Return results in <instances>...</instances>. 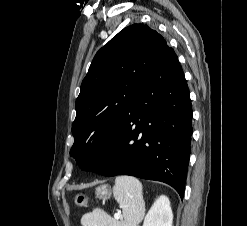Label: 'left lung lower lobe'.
Returning a JSON list of instances; mask_svg holds the SVG:
<instances>
[{"mask_svg": "<svg viewBox=\"0 0 247 226\" xmlns=\"http://www.w3.org/2000/svg\"><path fill=\"white\" fill-rule=\"evenodd\" d=\"M186 79L166 45L115 135L84 164L104 176L131 175L172 186L183 198L192 135Z\"/></svg>", "mask_w": 247, "mask_h": 226, "instance_id": "1", "label": "left lung lower lobe"}]
</instances>
